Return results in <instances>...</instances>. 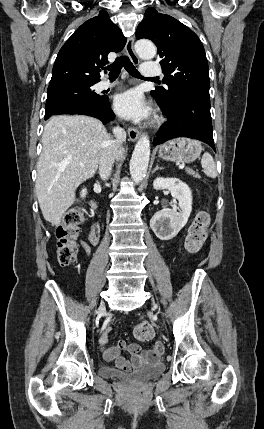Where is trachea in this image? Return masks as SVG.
<instances>
[{"instance_id": "obj_1", "label": "trachea", "mask_w": 264, "mask_h": 429, "mask_svg": "<svg viewBox=\"0 0 264 429\" xmlns=\"http://www.w3.org/2000/svg\"><path fill=\"white\" fill-rule=\"evenodd\" d=\"M124 67L126 71L133 77L142 78L141 74L137 71L133 63L127 56L118 57L113 64L108 66L106 69L110 71V78H117L120 74L121 68ZM152 80H156L152 78Z\"/></svg>"}]
</instances>
